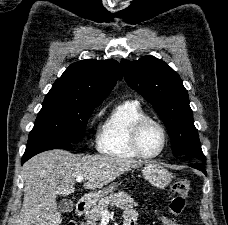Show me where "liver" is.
<instances>
[{"label":"liver","instance_id":"liver-1","mask_svg":"<svg viewBox=\"0 0 228 225\" xmlns=\"http://www.w3.org/2000/svg\"><path fill=\"white\" fill-rule=\"evenodd\" d=\"M140 165L106 155H72L63 149L40 153L22 167L24 199L16 225H61L56 199L74 193L77 177H84V189L96 191Z\"/></svg>","mask_w":228,"mask_h":225}]
</instances>
